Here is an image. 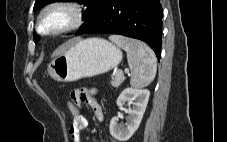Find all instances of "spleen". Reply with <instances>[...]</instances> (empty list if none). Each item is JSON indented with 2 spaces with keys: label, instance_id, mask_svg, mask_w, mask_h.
Here are the masks:
<instances>
[{
  "label": "spleen",
  "instance_id": "spleen-1",
  "mask_svg": "<svg viewBox=\"0 0 227 142\" xmlns=\"http://www.w3.org/2000/svg\"><path fill=\"white\" fill-rule=\"evenodd\" d=\"M109 39L127 53L131 86H148L154 80L157 71V59L153 50L143 42L124 36L112 35Z\"/></svg>",
  "mask_w": 227,
  "mask_h": 142
}]
</instances>
